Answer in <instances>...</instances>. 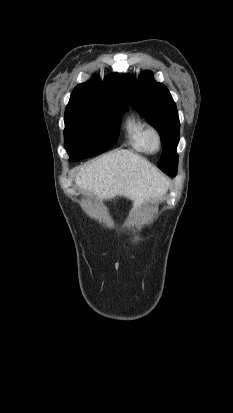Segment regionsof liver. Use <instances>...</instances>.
<instances>
[{"mask_svg":"<svg viewBox=\"0 0 233 413\" xmlns=\"http://www.w3.org/2000/svg\"><path fill=\"white\" fill-rule=\"evenodd\" d=\"M76 185L101 200L124 196L137 209L151 199H162L170 183L149 161L122 149L80 167Z\"/></svg>","mask_w":233,"mask_h":413,"instance_id":"obj_1","label":"liver"}]
</instances>
